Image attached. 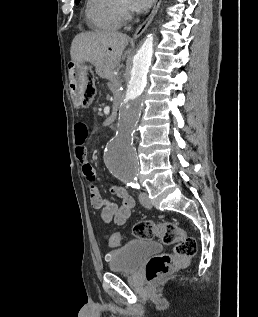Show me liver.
<instances>
[{
	"instance_id": "6515ba94",
	"label": "liver",
	"mask_w": 258,
	"mask_h": 317,
	"mask_svg": "<svg viewBox=\"0 0 258 317\" xmlns=\"http://www.w3.org/2000/svg\"><path fill=\"white\" fill-rule=\"evenodd\" d=\"M128 42L129 36L118 30L79 32L72 40L70 54L73 62H91L99 70L111 72Z\"/></svg>"
}]
</instances>
